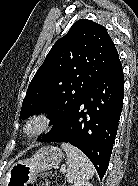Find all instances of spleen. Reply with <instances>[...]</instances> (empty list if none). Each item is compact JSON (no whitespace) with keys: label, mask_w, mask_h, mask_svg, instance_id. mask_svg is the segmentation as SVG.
<instances>
[{"label":"spleen","mask_w":138,"mask_h":186,"mask_svg":"<svg viewBox=\"0 0 138 186\" xmlns=\"http://www.w3.org/2000/svg\"><path fill=\"white\" fill-rule=\"evenodd\" d=\"M61 147L67 154L68 169L66 177L69 183L76 184L93 177L94 166L84 153L68 143H62Z\"/></svg>","instance_id":"obj_1"}]
</instances>
